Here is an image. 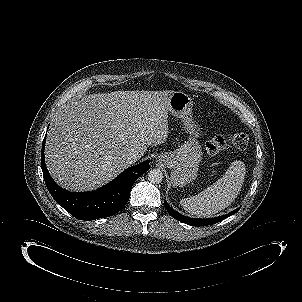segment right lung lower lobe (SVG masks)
I'll use <instances>...</instances> for the list:
<instances>
[{
  "label": "right lung lower lobe",
  "mask_w": 302,
  "mask_h": 302,
  "mask_svg": "<svg viewBox=\"0 0 302 302\" xmlns=\"http://www.w3.org/2000/svg\"><path fill=\"white\" fill-rule=\"evenodd\" d=\"M41 152V167L46 186L54 200L66 211L80 220L90 221L109 217L119 212L130 198L134 182L149 170V162L144 161L126 169L113 181L91 192H69L59 187L51 178L44 161V146Z\"/></svg>",
  "instance_id": "98d812e1"
}]
</instances>
